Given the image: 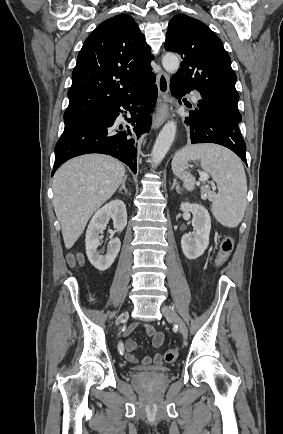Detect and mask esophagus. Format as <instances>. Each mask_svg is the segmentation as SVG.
Wrapping results in <instances>:
<instances>
[{"label": "esophagus", "mask_w": 283, "mask_h": 434, "mask_svg": "<svg viewBox=\"0 0 283 434\" xmlns=\"http://www.w3.org/2000/svg\"><path fill=\"white\" fill-rule=\"evenodd\" d=\"M170 79L168 74L161 71L157 76V87L159 92V104L157 107L156 115L152 122V127L154 129L159 128L169 116V104L167 102V97L170 91Z\"/></svg>", "instance_id": "34e87169"}]
</instances>
